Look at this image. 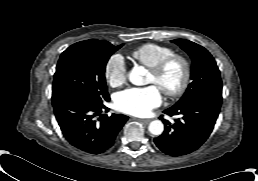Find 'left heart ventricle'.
Instances as JSON below:
<instances>
[{
	"label": "left heart ventricle",
	"instance_id": "1",
	"mask_svg": "<svg viewBox=\"0 0 258 181\" xmlns=\"http://www.w3.org/2000/svg\"><path fill=\"white\" fill-rule=\"evenodd\" d=\"M182 76V67L178 62L172 63L161 77L149 73L148 82L155 83L160 88H174Z\"/></svg>",
	"mask_w": 258,
	"mask_h": 181
}]
</instances>
